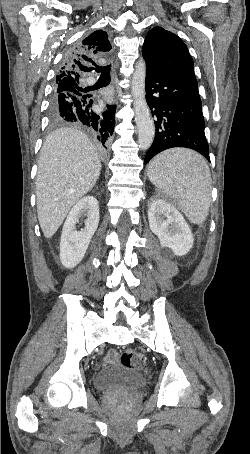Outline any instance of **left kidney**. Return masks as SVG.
<instances>
[{"label": "left kidney", "instance_id": "1", "mask_svg": "<svg viewBox=\"0 0 250 454\" xmlns=\"http://www.w3.org/2000/svg\"><path fill=\"white\" fill-rule=\"evenodd\" d=\"M151 231L158 237L167 254L186 255L194 237L181 212L166 200L155 197L148 211Z\"/></svg>", "mask_w": 250, "mask_h": 454}]
</instances>
